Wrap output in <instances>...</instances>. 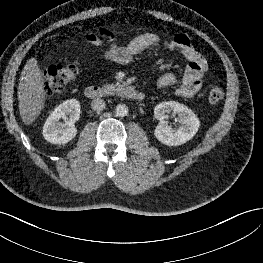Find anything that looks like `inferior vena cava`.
<instances>
[{"mask_svg": "<svg viewBox=\"0 0 263 263\" xmlns=\"http://www.w3.org/2000/svg\"><path fill=\"white\" fill-rule=\"evenodd\" d=\"M91 108L94 111H102L105 108V101L100 98H96L91 102Z\"/></svg>", "mask_w": 263, "mask_h": 263, "instance_id": "obj_1", "label": "inferior vena cava"}]
</instances>
